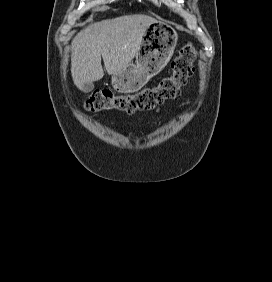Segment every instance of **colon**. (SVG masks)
Returning a JSON list of instances; mask_svg holds the SVG:
<instances>
[{
	"label": "colon",
	"instance_id": "colon-1",
	"mask_svg": "<svg viewBox=\"0 0 272 282\" xmlns=\"http://www.w3.org/2000/svg\"><path fill=\"white\" fill-rule=\"evenodd\" d=\"M196 52L192 45L183 46L171 63V71L161 81L134 94H116L108 88L95 91L85 102L90 112L119 110L128 114L152 110L165 101L176 99L180 88L192 75Z\"/></svg>",
	"mask_w": 272,
	"mask_h": 282
}]
</instances>
